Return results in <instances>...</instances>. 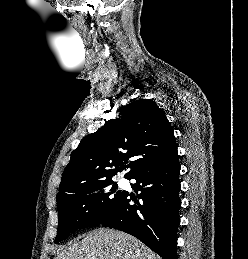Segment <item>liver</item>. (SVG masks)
Returning a JSON list of instances; mask_svg holds the SVG:
<instances>
[{
    "instance_id": "obj_1",
    "label": "liver",
    "mask_w": 248,
    "mask_h": 259,
    "mask_svg": "<svg viewBox=\"0 0 248 259\" xmlns=\"http://www.w3.org/2000/svg\"><path fill=\"white\" fill-rule=\"evenodd\" d=\"M160 259L135 237L112 229H97L62 249L54 259Z\"/></svg>"
}]
</instances>
